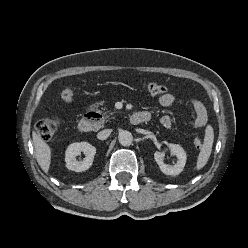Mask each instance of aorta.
Segmentation results:
<instances>
[{"label": "aorta", "instance_id": "obj_1", "mask_svg": "<svg viewBox=\"0 0 248 248\" xmlns=\"http://www.w3.org/2000/svg\"><path fill=\"white\" fill-rule=\"evenodd\" d=\"M118 140L122 146H130L133 142V136L131 132L122 130L119 132Z\"/></svg>", "mask_w": 248, "mask_h": 248}]
</instances>
